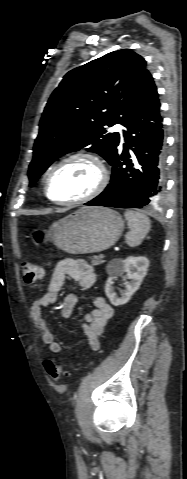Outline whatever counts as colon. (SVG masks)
Here are the masks:
<instances>
[{"label": "colon", "mask_w": 187, "mask_h": 479, "mask_svg": "<svg viewBox=\"0 0 187 479\" xmlns=\"http://www.w3.org/2000/svg\"><path fill=\"white\" fill-rule=\"evenodd\" d=\"M21 271L23 280L28 285L35 284L43 276L42 267L28 259L21 262ZM44 367L49 377L54 381H60L63 377L69 375L64 366L54 360H46L44 362Z\"/></svg>", "instance_id": "obj_1"}]
</instances>
